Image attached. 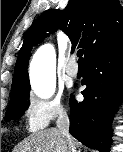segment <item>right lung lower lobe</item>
Returning a JSON list of instances; mask_svg holds the SVG:
<instances>
[{"mask_svg":"<svg viewBox=\"0 0 123 152\" xmlns=\"http://www.w3.org/2000/svg\"><path fill=\"white\" fill-rule=\"evenodd\" d=\"M84 100L70 98V133L89 148L108 152L111 120L123 101V34L86 59Z\"/></svg>","mask_w":123,"mask_h":152,"instance_id":"right-lung-lower-lobe-1","label":"right lung lower lobe"}]
</instances>
